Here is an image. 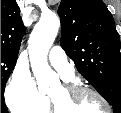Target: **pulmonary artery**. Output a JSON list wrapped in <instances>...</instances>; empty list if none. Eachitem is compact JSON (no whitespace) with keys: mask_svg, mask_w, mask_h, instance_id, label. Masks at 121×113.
<instances>
[{"mask_svg":"<svg viewBox=\"0 0 121 113\" xmlns=\"http://www.w3.org/2000/svg\"><path fill=\"white\" fill-rule=\"evenodd\" d=\"M49 62L63 79L68 80L75 76L74 67L62 48H52L49 54Z\"/></svg>","mask_w":121,"mask_h":113,"instance_id":"1","label":"pulmonary artery"}]
</instances>
